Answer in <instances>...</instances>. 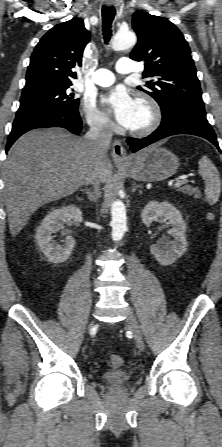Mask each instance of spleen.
<instances>
[{
  "mask_svg": "<svg viewBox=\"0 0 222 447\" xmlns=\"http://www.w3.org/2000/svg\"><path fill=\"white\" fill-rule=\"evenodd\" d=\"M199 174L205 179V197L207 202L215 204L221 192V180L216 166L207 156H202L199 161Z\"/></svg>",
  "mask_w": 222,
  "mask_h": 447,
  "instance_id": "3e777b00",
  "label": "spleen"
}]
</instances>
